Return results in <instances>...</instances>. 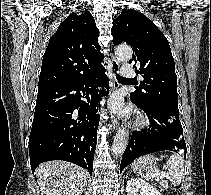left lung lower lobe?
Returning <instances> with one entry per match:
<instances>
[{
  "mask_svg": "<svg viewBox=\"0 0 211 195\" xmlns=\"http://www.w3.org/2000/svg\"><path fill=\"white\" fill-rule=\"evenodd\" d=\"M137 105L150 118L152 128L133 132L121 160L120 173L136 158L148 153L170 150L186 158L187 149L179 115L156 106Z\"/></svg>",
  "mask_w": 211,
  "mask_h": 195,
  "instance_id": "0a47b994",
  "label": "left lung lower lobe"
}]
</instances>
